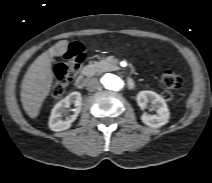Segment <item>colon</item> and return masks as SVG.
<instances>
[{"label": "colon", "instance_id": "obj_1", "mask_svg": "<svg viewBox=\"0 0 212 183\" xmlns=\"http://www.w3.org/2000/svg\"><path fill=\"white\" fill-rule=\"evenodd\" d=\"M84 60V50L79 43L70 45L63 61L56 64L54 68V81L51 95L58 99L66 92L68 84L78 73ZM183 79L173 70H166L161 76L160 84L163 88L162 97L166 101L173 98L172 90L182 86Z\"/></svg>", "mask_w": 212, "mask_h": 183}]
</instances>
